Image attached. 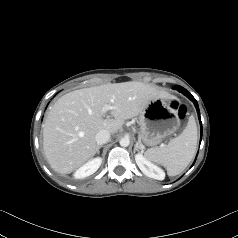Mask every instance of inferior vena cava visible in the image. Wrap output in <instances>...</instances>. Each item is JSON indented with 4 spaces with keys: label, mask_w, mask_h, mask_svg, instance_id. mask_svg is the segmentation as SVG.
<instances>
[{
    "label": "inferior vena cava",
    "mask_w": 238,
    "mask_h": 238,
    "mask_svg": "<svg viewBox=\"0 0 238 238\" xmlns=\"http://www.w3.org/2000/svg\"><path fill=\"white\" fill-rule=\"evenodd\" d=\"M95 139L98 145L105 144L110 139V132L108 130L102 129L96 134Z\"/></svg>",
    "instance_id": "inferior-vena-cava-1"
}]
</instances>
